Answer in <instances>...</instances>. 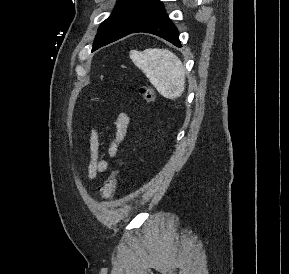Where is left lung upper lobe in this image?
Wrapping results in <instances>:
<instances>
[{"label": "left lung upper lobe", "mask_w": 289, "mask_h": 274, "mask_svg": "<svg viewBox=\"0 0 289 274\" xmlns=\"http://www.w3.org/2000/svg\"><path fill=\"white\" fill-rule=\"evenodd\" d=\"M160 7L158 0H118L112 14L100 25L92 50L126 36Z\"/></svg>", "instance_id": "obj_1"}]
</instances>
